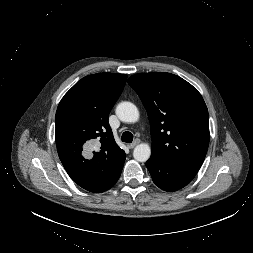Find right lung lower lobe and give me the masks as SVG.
Returning <instances> with one entry per match:
<instances>
[{
    "instance_id": "obj_1",
    "label": "right lung lower lobe",
    "mask_w": 253,
    "mask_h": 253,
    "mask_svg": "<svg viewBox=\"0 0 253 253\" xmlns=\"http://www.w3.org/2000/svg\"><path fill=\"white\" fill-rule=\"evenodd\" d=\"M125 161V160H124ZM124 161L122 162V164L119 166V168L116 170V172L113 174V176L109 179L108 182H106L103 186H101L100 188H98L94 193H101L104 192L108 189H110L111 187H113L115 185V183L117 182V180L120 177L123 165H124Z\"/></svg>"
}]
</instances>
